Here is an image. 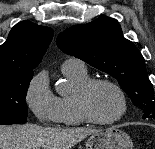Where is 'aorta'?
Instances as JSON below:
<instances>
[{
    "label": "aorta",
    "instance_id": "obj_1",
    "mask_svg": "<svg viewBox=\"0 0 155 149\" xmlns=\"http://www.w3.org/2000/svg\"><path fill=\"white\" fill-rule=\"evenodd\" d=\"M56 91L59 93H65L67 91V85L65 82L60 81L56 85Z\"/></svg>",
    "mask_w": 155,
    "mask_h": 149
}]
</instances>
